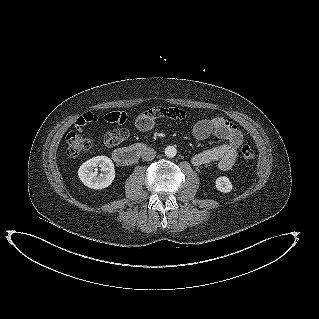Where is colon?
<instances>
[{
	"label": "colon",
	"instance_id": "obj_1",
	"mask_svg": "<svg viewBox=\"0 0 319 319\" xmlns=\"http://www.w3.org/2000/svg\"><path fill=\"white\" fill-rule=\"evenodd\" d=\"M106 120L116 124H123L126 121V115L122 112H113L106 115ZM66 144L67 154L71 157H75L89 150L92 146V141L77 132H70L66 136ZM241 152L246 162H252L254 160L255 152L249 146H244Z\"/></svg>",
	"mask_w": 319,
	"mask_h": 319
}]
</instances>
